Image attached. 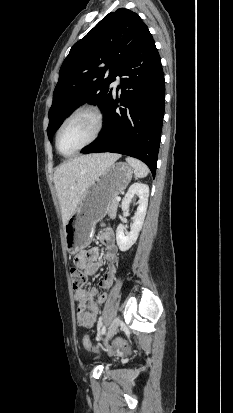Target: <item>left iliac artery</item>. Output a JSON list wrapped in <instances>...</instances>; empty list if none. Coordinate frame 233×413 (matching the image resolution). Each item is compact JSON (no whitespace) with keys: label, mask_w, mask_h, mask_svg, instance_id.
<instances>
[{"label":"left iliac artery","mask_w":233,"mask_h":413,"mask_svg":"<svg viewBox=\"0 0 233 413\" xmlns=\"http://www.w3.org/2000/svg\"><path fill=\"white\" fill-rule=\"evenodd\" d=\"M101 324H99V326H100ZM105 331H106V327L105 326H103V328L101 329V334H104L105 333Z\"/></svg>","instance_id":"1"}]
</instances>
